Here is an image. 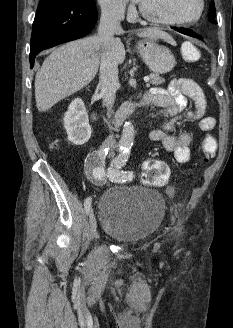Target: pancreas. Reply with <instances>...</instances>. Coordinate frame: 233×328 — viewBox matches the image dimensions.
<instances>
[{
  "label": "pancreas",
  "mask_w": 233,
  "mask_h": 328,
  "mask_svg": "<svg viewBox=\"0 0 233 328\" xmlns=\"http://www.w3.org/2000/svg\"><path fill=\"white\" fill-rule=\"evenodd\" d=\"M148 77L152 85H160L165 82V80L157 73H150Z\"/></svg>",
  "instance_id": "pancreas-1"
}]
</instances>
